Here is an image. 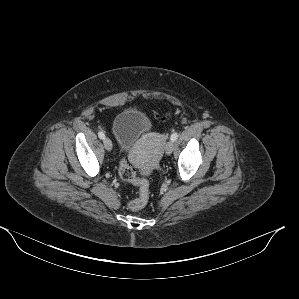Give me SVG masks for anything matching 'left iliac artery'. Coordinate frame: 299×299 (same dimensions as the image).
<instances>
[{
    "label": "left iliac artery",
    "instance_id": "1",
    "mask_svg": "<svg viewBox=\"0 0 299 299\" xmlns=\"http://www.w3.org/2000/svg\"><path fill=\"white\" fill-rule=\"evenodd\" d=\"M177 138H178V133H173L172 135H171V140L172 141H176L177 140Z\"/></svg>",
    "mask_w": 299,
    "mask_h": 299
}]
</instances>
